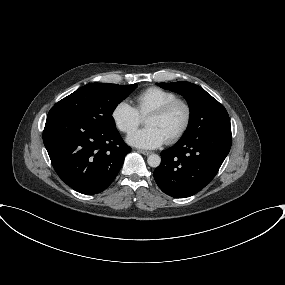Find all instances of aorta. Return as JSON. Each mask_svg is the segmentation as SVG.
<instances>
[{"instance_id":"1","label":"aorta","mask_w":285,"mask_h":285,"mask_svg":"<svg viewBox=\"0 0 285 285\" xmlns=\"http://www.w3.org/2000/svg\"><path fill=\"white\" fill-rule=\"evenodd\" d=\"M147 162H148L149 166L156 168V167H158L160 165L161 158L157 154H151L147 158Z\"/></svg>"}]
</instances>
